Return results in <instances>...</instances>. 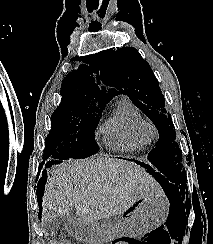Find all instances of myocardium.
<instances>
[{"instance_id":"myocardium-1","label":"myocardium","mask_w":213,"mask_h":244,"mask_svg":"<svg viewBox=\"0 0 213 244\" xmlns=\"http://www.w3.org/2000/svg\"><path fill=\"white\" fill-rule=\"evenodd\" d=\"M142 132L150 140H155L159 137V131L155 124H153L152 122H145L142 127Z\"/></svg>"}]
</instances>
